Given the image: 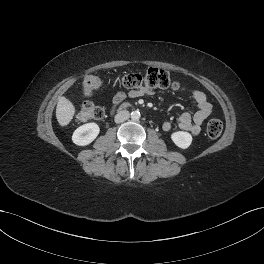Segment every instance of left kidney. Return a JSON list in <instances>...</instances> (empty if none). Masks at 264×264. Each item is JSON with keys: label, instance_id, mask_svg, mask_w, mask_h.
<instances>
[{"label": "left kidney", "instance_id": "left-kidney-1", "mask_svg": "<svg viewBox=\"0 0 264 264\" xmlns=\"http://www.w3.org/2000/svg\"><path fill=\"white\" fill-rule=\"evenodd\" d=\"M171 139L181 149L188 148L192 143V136L185 131H177L171 134Z\"/></svg>", "mask_w": 264, "mask_h": 264}]
</instances>
